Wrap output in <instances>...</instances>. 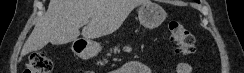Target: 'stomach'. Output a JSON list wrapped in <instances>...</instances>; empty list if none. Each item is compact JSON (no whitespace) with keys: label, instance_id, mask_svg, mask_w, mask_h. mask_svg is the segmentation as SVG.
Returning <instances> with one entry per match:
<instances>
[{"label":"stomach","instance_id":"stomach-1","mask_svg":"<svg viewBox=\"0 0 244 73\" xmlns=\"http://www.w3.org/2000/svg\"><path fill=\"white\" fill-rule=\"evenodd\" d=\"M165 10L157 3L147 1L138 9V17L143 26L149 29L158 27L166 18ZM75 43L72 49L82 59H90L98 55L101 46L97 42L89 41L86 46L80 50H76Z\"/></svg>","mask_w":244,"mask_h":73}]
</instances>
